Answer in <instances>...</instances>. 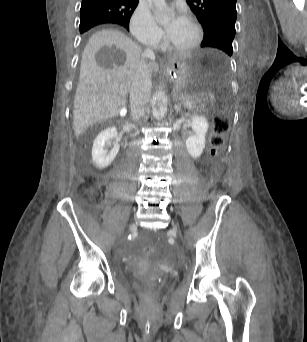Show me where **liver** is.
Wrapping results in <instances>:
<instances>
[{
	"label": "liver",
	"instance_id": "1",
	"mask_svg": "<svg viewBox=\"0 0 307 342\" xmlns=\"http://www.w3.org/2000/svg\"><path fill=\"white\" fill-rule=\"evenodd\" d=\"M142 50L118 30H101L89 38L82 54L74 98V136L86 128L118 116L137 70ZM186 56V54H182ZM150 74L159 72L156 62L147 64Z\"/></svg>",
	"mask_w": 307,
	"mask_h": 342
}]
</instances>
